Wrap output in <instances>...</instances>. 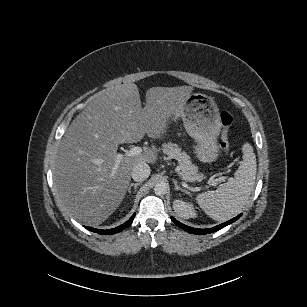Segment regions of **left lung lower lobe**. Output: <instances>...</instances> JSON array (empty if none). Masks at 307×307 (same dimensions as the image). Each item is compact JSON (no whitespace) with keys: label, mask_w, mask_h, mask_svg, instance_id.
<instances>
[{"label":"left lung lower lobe","mask_w":307,"mask_h":307,"mask_svg":"<svg viewBox=\"0 0 307 307\" xmlns=\"http://www.w3.org/2000/svg\"><path fill=\"white\" fill-rule=\"evenodd\" d=\"M242 214L238 215L237 217L223 223V224H220L218 226H215L213 228H208V229H196V228H192V227H189V226H186L182 223H180L179 221H177L176 219H174L172 217V221L177 225L179 226L180 228L184 229L185 231L189 232V233H192V234H198V235H201V234H209V233H212V232H215V231H218L220 229H222L223 227L235 222Z\"/></svg>","instance_id":"0a47b994"}]
</instances>
